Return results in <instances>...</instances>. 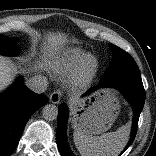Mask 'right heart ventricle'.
I'll return each mask as SVG.
<instances>
[{
    "instance_id": "obj_1",
    "label": "right heart ventricle",
    "mask_w": 156,
    "mask_h": 156,
    "mask_svg": "<svg viewBox=\"0 0 156 156\" xmlns=\"http://www.w3.org/2000/svg\"><path fill=\"white\" fill-rule=\"evenodd\" d=\"M95 58L80 48H72L63 52L50 63L52 72L61 77L76 74L84 65H94Z\"/></svg>"
}]
</instances>
